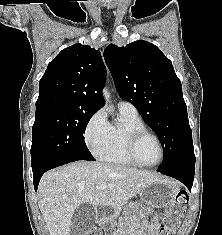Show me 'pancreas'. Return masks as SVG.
<instances>
[{"label":"pancreas","mask_w":222,"mask_h":235,"mask_svg":"<svg viewBox=\"0 0 222 235\" xmlns=\"http://www.w3.org/2000/svg\"><path fill=\"white\" fill-rule=\"evenodd\" d=\"M120 208H121V205H118V206L115 207V212H116V214H119Z\"/></svg>","instance_id":"obj_1"}]
</instances>
